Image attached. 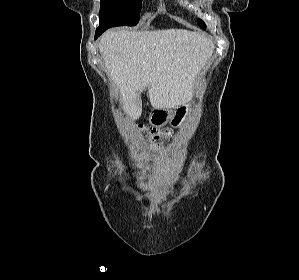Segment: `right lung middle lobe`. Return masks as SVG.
<instances>
[{"label":"right lung middle lobe","mask_w":299,"mask_h":280,"mask_svg":"<svg viewBox=\"0 0 299 280\" xmlns=\"http://www.w3.org/2000/svg\"><path fill=\"white\" fill-rule=\"evenodd\" d=\"M142 0H101L99 16L115 26H134L139 22Z\"/></svg>","instance_id":"1"}]
</instances>
